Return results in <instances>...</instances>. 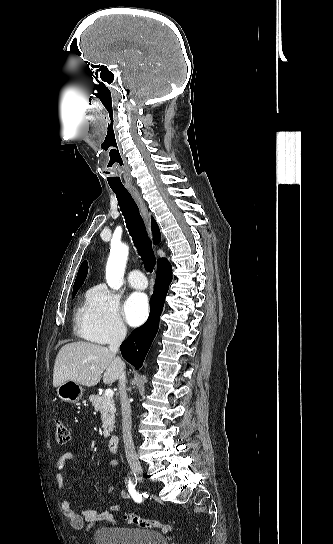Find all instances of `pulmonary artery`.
<instances>
[{
    "label": "pulmonary artery",
    "mask_w": 333,
    "mask_h": 544,
    "mask_svg": "<svg viewBox=\"0 0 333 544\" xmlns=\"http://www.w3.org/2000/svg\"><path fill=\"white\" fill-rule=\"evenodd\" d=\"M129 284L135 289H145L147 287V279L139 270H133L128 276Z\"/></svg>",
    "instance_id": "obj_1"
}]
</instances>
